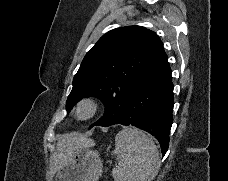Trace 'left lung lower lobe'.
<instances>
[{
	"instance_id": "left-lung-lower-lobe-1",
	"label": "left lung lower lobe",
	"mask_w": 228,
	"mask_h": 181,
	"mask_svg": "<svg viewBox=\"0 0 228 181\" xmlns=\"http://www.w3.org/2000/svg\"><path fill=\"white\" fill-rule=\"evenodd\" d=\"M173 105L171 69L164 53L142 75L123 117L113 125H132L150 133L158 140L164 156L169 146Z\"/></svg>"
}]
</instances>
